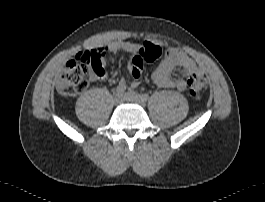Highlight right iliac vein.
Returning <instances> with one entry per match:
<instances>
[{
	"instance_id": "1",
	"label": "right iliac vein",
	"mask_w": 265,
	"mask_h": 202,
	"mask_svg": "<svg viewBox=\"0 0 265 202\" xmlns=\"http://www.w3.org/2000/svg\"><path fill=\"white\" fill-rule=\"evenodd\" d=\"M114 101L116 104H122L125 101V96L123 94L117 95L115 96Z\"/></svg>"
}]
</instances>
